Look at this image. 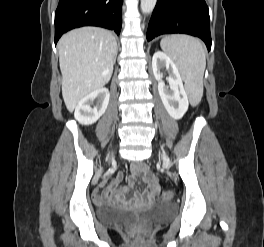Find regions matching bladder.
Wrapping results in <instances>:
<instances>
[{
    "label": "bladder",
    "instance_id": "obj_1",
    "mask_svg": "<svg viewBox=\"0 0 264 247\" xmlns=\"http://www.w3.org/2000/svg\"><path fill=\"white\" fill-rule=\"evenodd\" d=\"M170 216L171 210L160 206H153L140 210L120 207H102L98 209L97 214V218L101 223L121 226L154 224L165 221Z\"/></svg>",
    "mask_w": 264,
    "mask_h": 247
}]
</instances>
